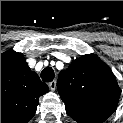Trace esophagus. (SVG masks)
I'll use <instances>...</instances> for the list:
<instances>
[{
    "label": "esophagus",
    "instance_id": "34e87169",
    "mask_svg": "<svg viewBox=\"0 0 123 123\" xmlns=\"http://www.w3.org/2000/svg\"><path fill=\"white\" fill-rule=\"evenodd\" d=\"M50 90L54 91L56 89V81H51L49 84Z\"/></svg>",
    "mask_w": 123,
    "mask_h": 123
}]
</instances>
